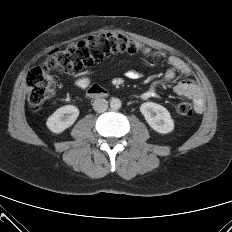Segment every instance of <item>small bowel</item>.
I'll list each match as a JSON object with an SVG mask.
<instances>
[{
	"label": "small bowel",
	"instance_id": "c3829d8e",
	"mask_svg": "<svg viewBox=\"0 0 232 232\" xmlns=\"http://www.w3.org/2000/svg\"><path fill=\"white\" fill-rule=\"evenodd\" d=\"M169 68L161 81L155 82L142 95L143 99L155 98L158 96V88L164 84L172 82L178 74L184 78L175 86V92L183 97L192 100L197 113L203 110V96L200 87L192 78V72L187 63L178 56H169L167 58ZM131 80H137L142 76L140 70L131 68L125 73ZM73 87L77 90H85L91 86V80L87 76H78L73 80Z\"/></svg>",
	"mask_w": 232,
	"mask_h": 232
}]
</instances>
